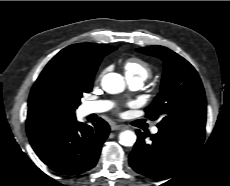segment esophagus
<instances>
[{
	"mask_svg": "<svg viewBox=\"0 0 230 186\" xmlns=\"http://www.w3.org/2000/svg\"><path fill=\"white\" fill-rule=\"evenodd\" d=\"M124 128H125L124 125H112L111 126L112 131H119V130H123Z\"/></svg>",
	"mask_w": 230,
	"mask_h": 186,
	"instance_id": "esophagus-1",
	"label": "esophagus"
}]
</instances>
